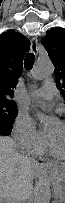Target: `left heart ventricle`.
<instances>
[{
  "label": "left heart ventricle",
  "mask_w": 65,
  "mask_h": 203,
  "mask_svg": "<svg viewBox=\"0 0 65 203\" xmlns=\"http://www.w3.org/2000/svg\"><path fill=\"white\" fill-rule=\"evenodd\" d=\"M46 136L53 143L57 152L64 153V151H65V125H63L61 122L54 123L46 131Z\"/></svg>",
  "instance_id": "left-heart-ventricle-1"
}]
</instances>
